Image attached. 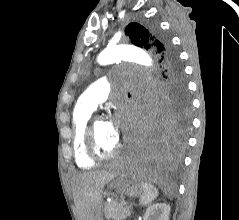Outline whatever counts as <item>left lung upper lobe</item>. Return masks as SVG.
I'll use <instances>...</instances> for the list:
<instances>
[{"mask_svg": "<svg viewBox=\"0 0 239 220\" xmlns=\"http://www.w3.org/2000/svg\"><path fill=\"white\" fill-rule=\"evenodd\" d=\"M125 33L134 45L152 51L163 64L168 79L163 106L175 127L185 130L189 123V98L181 65L168 38L155 24L144 27L138 23H130Z\"/></svg>", "mask_w": 239, "mask_h": 220, "instance_id": "obj_1", "label": "left lung upper lobe"}]
</instances>
